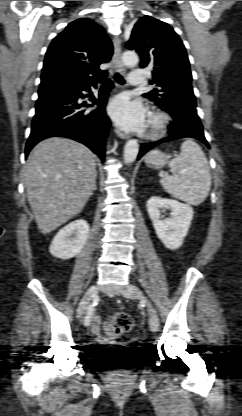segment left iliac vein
I'll return each instance as SVG.
<instances>
[{
    "label": "left iliac vein",
    "instance_id": "1",
    "mask_svg": "<svg viewBox=\"0 0 242 416\" xmlns=\"http://www.w3.org/2000/svg\"><path fill=\"white\" fill-rule=\"evenodd\" d=\"M122 295L129 298L140 299L145 303L149 315L150 329L152 332H158L160 328V322L157 312L149 300L144 296L142 291L137 286L128 284L127 287L122 291Z\"/></svg>",
    "mask_w": 242,
    "mask_h": 416
}]
</instances>
